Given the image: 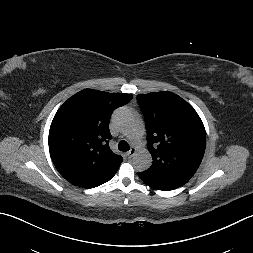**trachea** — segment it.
<instances>
[{
  "mask_svg": "<svg viewBox=\"0 0 253 253\" xmlns=\"http://www.w3.org/2000/svg\"><path fill=\"white\" fill-rule=\"evenodd\" d=\"M118 149L120 151L126 152L130 149V146L126 141H120L118 144Z\"/></svg>",
  "mask_w": 253,
  "mask_h": 253,
  "instance_id": "1",
  "label": "trachea"
}]
</instances>
